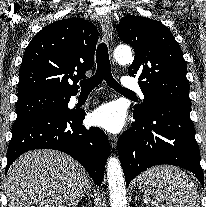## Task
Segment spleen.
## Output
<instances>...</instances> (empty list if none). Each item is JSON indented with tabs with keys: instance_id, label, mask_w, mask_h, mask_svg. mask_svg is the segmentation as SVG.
Segmentation results:
<instances>
[{
	"instance_id": "1",
	"label": "spleen",
	"mask_w": 206,
	"mask_h": 207,
	"mask_svg": "<svg viewBox=\"0 0 206 207\" xmlns=\"http://www.w3.org/2000/svg\"><path fill=\"white\" fill-rule=\"evenodd\" d=\"M158 204L167 207H200L197 188L190 177L176 166H156L143 172L137 180Z\"/></svg>"
}]
</instances>
